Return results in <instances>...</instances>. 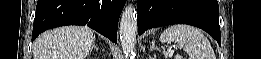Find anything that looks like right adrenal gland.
Listing matches in <instances>:
<instances>
[{"instance_id":"2a0ac1e0","label":"right adrenal gland","mask_w":261,"mask_h":59,"mask_svg":"<svg viewBox=\"0 0 261 59\" xmlns=\"http://www.w3.org/2000/svg\"><path fill=\"white\" fill-rule=\"evenodd\" d=\"M93 48H94L95 50H98V48H97V46H96L95 44H93Z\"/></svg>"}]
</instances>
